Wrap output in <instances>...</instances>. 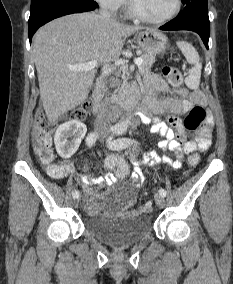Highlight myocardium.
<instances>
[{
	"instance_id": "1",
	"label": "myocardium",
	"mask_w": 233,
	"mask_h": 284,
	"mask_svg": "<svg viewBox=\"0 0 233 284\" xmlns=\"http://www.w3.org/2000/svg\"><path fill=\"white\" fill-rule=\"evenodd\" d=\"M182 1L181 0H174V6L172 10L163 17L160 18H151L144 14H142L135 6L134 0H128V9L129 13L136 19L150 24H163L171 19H173L181 10Z\"/></svg>"
}]
</instances>
